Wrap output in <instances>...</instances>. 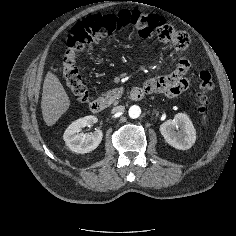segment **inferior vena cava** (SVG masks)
<instances>
[{"label": "inferior vena cava", "mask_w": 236, "mask_h": 236, "mask_svg": "<svg viewBox=\"0 0 236 236\" xmlns=\"http://www.w3.org/2000/svg\"><path fill=\"white\" fill-rule=\"evenodd\" d=\"M125 107L122 106V105H119V106H116V107H113L112 109V113H116V112H120V111H124Z\"/></svg>", "instance_id": "obj_1"}]
</instances>
